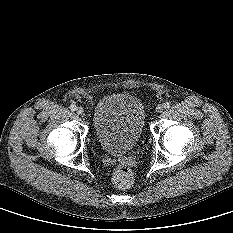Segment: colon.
Masks as SVG:
<instances>
[{"label": "colon", "instance_id": "1", "mask_svg": "<svg viewBox=\"0 0 233 233\" xmlns=\"http://www.w3.org/2000/svg\"><path fill=\"white\" fill-rule=\"evenodd\" d=\"M113 181L117 187L126 189L133 183V174L129 168L125 166H118L114 170Z\"/></svg>", "mask_w": 233, "mask_h": 233}]
</instances>
